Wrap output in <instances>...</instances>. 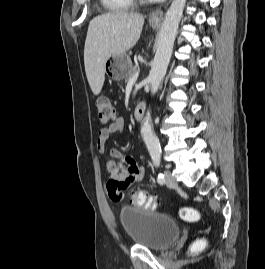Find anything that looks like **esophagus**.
<instances>
[{"label": "esophagus", "instance_id": "esophagus-1", "mask_svg": "<svg viewBox=\"0 0 265 269\" xmlns=\"http://www.w3.org/2000/svg\"><path fill=\"white\" fill-rule=\"evenodd\" d=\"M164 12L162 10H156L149 16V22L150 23H159L163 19Z\"/></svg>", "mask_w": 265, "mask_h": 269}]
</instances>
